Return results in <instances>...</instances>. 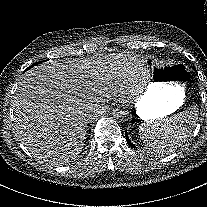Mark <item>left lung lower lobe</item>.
<instances>
[{"mask_svg": "<svg viewBox=\"0 0 207 207\" xmlns=\"http://www.w3.org/2000/svg\"><path fill=\"white\" fill-rule=\"evenodd\" d=\"M125 136H126V140L128 142V144L132 147L135 148L134 144H132V142L130 141V139L128 138V134L125 132Z\"/></svg>", "mask_w": 207, "mask_h": 207, "instance_id": "1", "label": "left lung lower lobe"}]
</instances>
